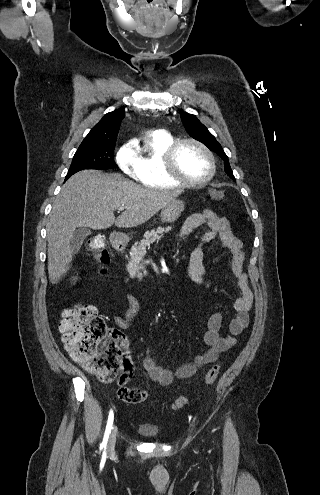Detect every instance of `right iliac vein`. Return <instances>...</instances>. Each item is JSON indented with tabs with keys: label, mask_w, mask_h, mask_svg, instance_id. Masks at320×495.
<instances>
[{
	"label": "right iliac vein",
	"mask_w": 320,
	"mask_h": 495,
	"mask_svg": "<svg viewBox=\"0 0 320 495\" xmlns=\"http://www.w3.org/2000/svg\"><path fill=\"white\" fill-rule=\"evenodd\" d=\"M116 436H117V429L115 426H113L112 431L110 433V437L108 440V445H107V451L112 452L115 447V442H116Z\"/></svg>",
	"instance_id": "obj_1"
}]
</instances>
